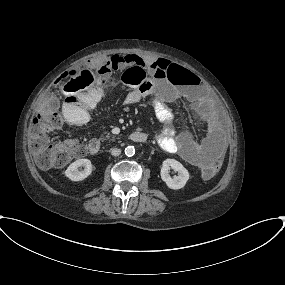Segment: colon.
<instances>
[{"mask_svg": "<svg viewBox=\"0 0 285 285\" xmlns=\"http://www.w3.org/2000/svg\"><path fill=\"white\" fill-rule=\"evenodd\" d=\"M124 61L121 56L111 55L106 59H99L96 63L83 64L77 69L64 73L58 79V83L65 85L62 89L56 88L44 98L29 128L30 151L38 167L48 169L65 166L72 159L85 153V146L81 143L76 141L57 142L50 136L63 125V119L59 114L58 93L79 91L98 78L105 79L115 75L122 67L124 70L120 74L119 80L123 85L139 91H144L148 87L147 64L139 60L136 64L128 65ZM153 66L159 67L168 78L177 84L184 83L189 76L186 70L179 69L164 59L156 60ZM88 112L90 114V108H88ZM221 165L222 159L217 158L211 165L202 169V177L204 179L213 177Z\"/></svg>", "mask_w": 285, "mask_h": 285, "instance_id": "colon-1", "label": "colon"}]
</instances>
